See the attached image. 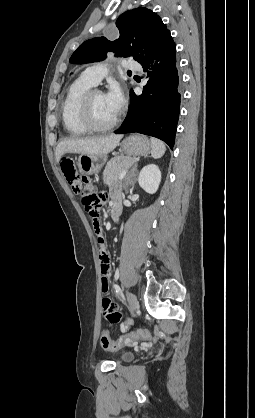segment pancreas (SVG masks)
Segmentation results:
<instances>
[{
  "mask_svg": "<svg viewBox=\"0 0 255 418\" xmlns=\"http://www.w3.org/2000/svg\"><path fill=\"white\" fill-rule=\"evenodd\" d=\"M135 163V159L129 156L113 157L106 165L103 172L104 184L113 189L117 183L122 171L128 169Z\"/></svg>",
  "mask_w": 255,
  "mask_h": 418,
  "instance_id": "obj_1",
  "label": "pancreas"
}]
</instances>
